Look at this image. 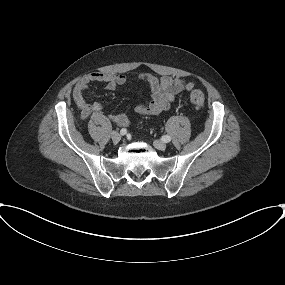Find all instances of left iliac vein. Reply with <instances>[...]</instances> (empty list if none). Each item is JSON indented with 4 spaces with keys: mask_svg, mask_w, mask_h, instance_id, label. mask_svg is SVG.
<instances>
[{
    "mask_svg": "<svg viewBox=\"0 0 285 285\" xmlns=\"http://www.w3.org/2000/svg\"><path fill=\"white\" fill-rule=\"evenodd\" d=\"M153 145L158 150H165L166 147H167V144L165 142H163V141H160V140H155L153 142Z\"/></svg>",
    "mask_w": 285,
    "mask_h": 285,
    "instance_id": "4c4485c4",
    "label": "left iliac vein"
}]
</instances>
